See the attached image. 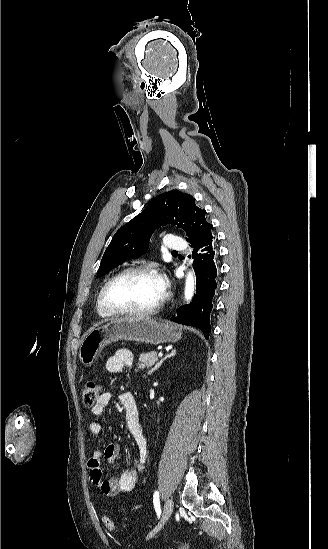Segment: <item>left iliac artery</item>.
<instances>
[{"mask_svg":"<svg viewBox=\"0 0 328 549\" xmlns=\"http://www.w3.org/2000/svg\"><path fill=\"white\" fill-rule=\"evenodd\" d=\"M153 503L156 510V513L158 517H160L161 509H160V501H159V492L156 491L153 495Z\"/></svg>","mask_w":328,"mask_h":549,"instance_id":"1","label":"left iliac artery"}]
</instances>
